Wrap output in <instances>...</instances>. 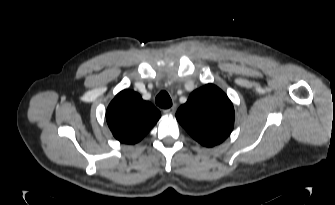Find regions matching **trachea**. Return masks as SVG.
<instances>
[{"label": "trachea", "instance_id": "1", "mask_svg": "<svg viewBox=\"0 0 335 205\" xmlns=\"http://www.w3.org/2000/svg\"><path fill=\"white\" fill-rule=\"evenodd\" d=\"M155 102L160 108L163 109H168L172 106V100L166 91H161L157 95Z\"/></svg>", "mask_w": 335, "mask_h": 205}]
</instances>
